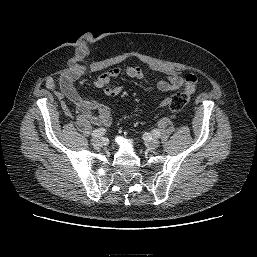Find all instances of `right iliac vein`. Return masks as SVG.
I'll list each match as a JSON object with an SVG mask.
<instances>
[{"mask_svg": "<svg viewBox=\"0 0 257 257\" xmlns=\"http://www.w3.org/2000/svg\"><path fill=\"white\" fill-rule=\"evenodd\" d=\"M91 142L95 148H100L103 145V140L100 138H93Z\"/></svg>", "mask_w": 257, "mask_h": 257, "instance_id": "1", "label": "right iliac vein"}]
</instances>
